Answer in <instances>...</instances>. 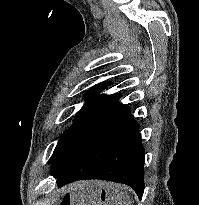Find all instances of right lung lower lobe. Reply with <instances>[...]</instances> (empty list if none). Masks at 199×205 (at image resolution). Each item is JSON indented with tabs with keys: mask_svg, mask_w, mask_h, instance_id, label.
<instances>
[{
	"mask_svg": "<svg viewBox=\"0 0 199 205\" xmlns=\"http://www.w3.org/2000/svg\"><path fill=\"white\" fill-rule=\"evenodd\" d=\"M145 150L139 124L132 118L125 121L102 143L53 175L58 187L76 180L102 179L130 186L142 198L144 192Z\"/></svg>",
	"mask_w": 199,
	"mask_h": 205,
	"instance_id": "98d812e1",
	"label": "right lung lower lobe"
}]
</instances>
